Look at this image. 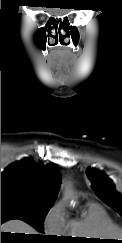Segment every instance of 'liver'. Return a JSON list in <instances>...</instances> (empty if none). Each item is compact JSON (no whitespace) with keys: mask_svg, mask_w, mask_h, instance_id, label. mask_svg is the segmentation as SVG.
I'll use <instances>...</instances> for the list:
<instances>
[{"mask_svg":"<svg viewBox=\"0 0 122 243\" xmlns=\"http://www.w3.org/2000/svg\"><path fill=\"white\" fill-rule=\"evenodd\" d=\"M1 232L36 234V230L21 220H10L1 225Z\"/></svg>","mask_w":122,"mask_h":243,"instance_id":"liver-1","label":"liver"}]
</instances>
